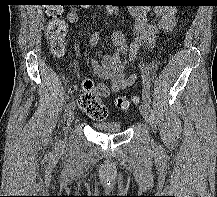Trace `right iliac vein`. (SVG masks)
<instances>
[{
    "label": "right iliac vein",
    "instance_id": "1",
    "mask_svg": "<svg viewBox=\"0 0 217 197\" xmlns=\"http://www.w3.org/2000/svg\"><path fill=\"white\" fill-rule=\"evenodd\" d=\"M74 117H75V113H74V110L72 109V110H70L69 113H68L67 129L69 128L70 124L73 122Z\"/></svg>",
    "mask_w": 217,
    "mask_h": 197
}]
</instances>
